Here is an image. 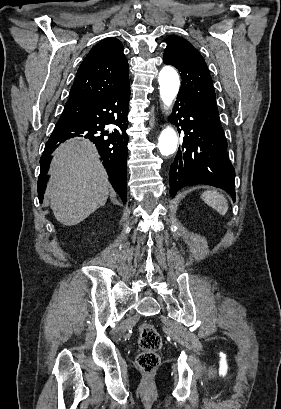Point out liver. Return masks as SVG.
<instances>
[{"label":"liver","instance_id":"1","mask_svg":"<svg viewBox=\"0 0 281 409\" xmlns=\"http://www.w3.org/2000/svg\"><path fill=\"white\" fill-rule=\"evenodd\" d=\"M45 196L55 219L72 227L106 205L110 182L89 140L71 138L54 152Z\"/></svg>","mask_w":281,"mask_h":409}]
</instances>
